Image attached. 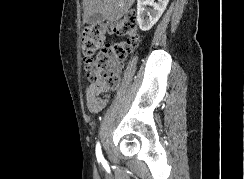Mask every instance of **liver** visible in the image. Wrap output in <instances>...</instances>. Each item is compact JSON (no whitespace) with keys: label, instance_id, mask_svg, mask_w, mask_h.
I'll return each instance as SVG.
<instances>
[{"label":"liver","instance_id":"obj_1","mask_svg":"<svg viewBox=\"0 0 244 179\" xmlns=\"http://www.w3.org/2000/svg\"><path fill=\"white\" fill-rule=\"evenodd\" d=\"M134 2L135 0H83L84 22L93 14H103L104 20L117 22L124 14H128Z\"/></svg>","mask_w":244,"mask_h":179}]
</instances>
